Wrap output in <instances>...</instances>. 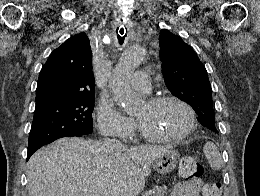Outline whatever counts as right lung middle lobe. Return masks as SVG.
<instances>
[{
    "instance_id": "right-lung-middle-lobe-1",
    "label": "right lung middle lobe",
    "mask_w": 260,
    "mask_h": 196,
    "mask_svg": "<svg viewBox=\"0 0 260 196\" xmlns=\"http://www.w3.org/2000/svg\"><path fill=\"white\" fill-rule=\"evenodd\" d=\"M94 97V93L75 94L36 106L28 150H37L62 137L92 133Z\"/></svg>"
}]
</instances>
